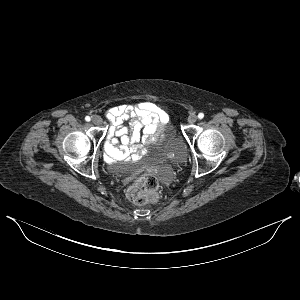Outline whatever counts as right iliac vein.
Returning a JSON list of instances; mask_svg holds the SVG:
<instances>
[{"label": "right iliac vein", "mask_w": 300, "mask_h": 300, "mask_svg": "<svg viewBox=\"0 0 300 300\" xmlns=\"http://www.w3.org/2000/svg\"><path fill=\"white\" fill-rule=\"evenodd\" d=\"M92 123L95 124V125H100L102 123L101 117L98 116V115H94L92 117Z\"/></svg>", "instance_id": "obj_1"}]
</instances>
